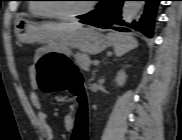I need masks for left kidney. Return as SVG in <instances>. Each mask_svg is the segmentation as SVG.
<instances>
[{
	"mask_svg": "<svg viewBox=\"0 0 182 140\" xmlns=\"http://www.w3.org/2000/svg\"><path fill=\"white\" fill-rule=\"evenodd\" d=\"M126 78H127V76H126V73L124 72V70H120L117 73L115 81L119 87H122L125 84Z\"/></svg>",
	"mask_w": 182,
	"mask_h": 140,
	"instance_id": "obj_1",
	"label": "left kidney"
}]
</instances>
